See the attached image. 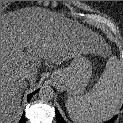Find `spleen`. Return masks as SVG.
I'll list each match as a JSON object with an SVG mask.
<instances>
[{
	"mask_svg": "<svg viewBox=\"0 0 123 123\" xmlns=\"http://www.w3.org/2000/svg\"><path fill=\"white\" fill-rule=\"evenodd\" d=\"M122 100L123 70L113 56L91 91L83 96L69 97L65 106L74 123H101L113 116Z\"/></svg>",
	"mask_w": 123,
	"mask_h": 123,
	"instance_id": "spleen-1",
	"label": "spleen"
}]
</instances>
